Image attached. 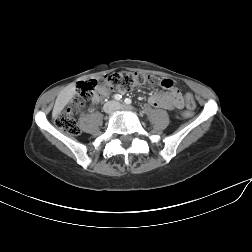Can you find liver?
I'll use <instances>...</instances> for the list:
<instances>
[{"label":"liver","instance_id":"liver-1","mask_svg":"<svg viewBox=\"0 0 252 252\" xmlns=\"http://www.w3.org/2000/svg\"><path fill=\"white\" fill-rule=\"evenodd\" d=\"M76 94V84L71 83L66 86L57 96L55 105L53 108V117H56L64 107L72 100L74 95Z\"/></svg>","mask_w":252,"mask_h":252}]
</instances>
